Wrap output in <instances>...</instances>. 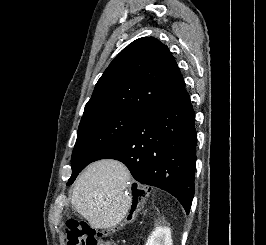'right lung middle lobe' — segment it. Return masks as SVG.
Segmentation results:
<instances>
[{"label":"right lung middle lobe","instance_id":"obj_1","mask_svg":"<svg viewBox=\"0 0 266 245\" xmlns=\"http://www.w3.org/2000/svg\"><path fill=\"white\" fill-rule=\"evenodd\" d=\"M144 114L105 110L82 117L71 159L73 183L79 172L102 152L123 138Z\"/></svg>","mask_w":266,"mask_h":245}]
</instances>
